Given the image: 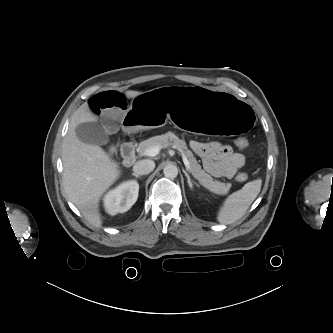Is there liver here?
<instances>
[{"label": "liver", "instance_id": "1", "mask_svg": "<svg viewBox=\"0 0 333 333\" xmlns=\"http://www.w3.org/2000/svg\"><path fill=\"white\" fill-rule=\"evenodd\" d=\"M139 94L141 92H125L128 98ZM96 121L88 103L74 113L62 144V162L66 196L92 225L100 227V198L119 177L120 170L118 163L101 147L84 143L76 136L75 129L79 124Z\"/></svg>", "mask_w": 333, "mask_h": 333}]
</instances>
